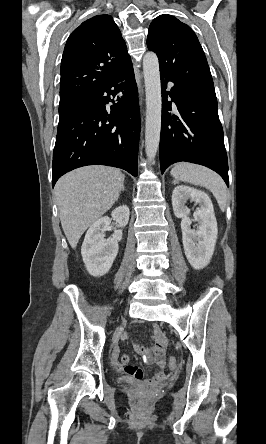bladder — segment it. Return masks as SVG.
I'll use <instances>...</instances> for the list:
<instances>
[{
  "label": "bladder",
  "mask_w": 266,
  "mask_h": 444,
  "mask_svg": "<svg viewBox=\"0 0 266 444\" xmlns=\"http://www.w3.org/2000/svg\"><path fill=\"white\" fill-rule=\"evenodd\" d=\"M126 383L129 385H139V382L133 380V379H128L126 380Z\"/></svg>",
  "instance_id": "31cf9c89"
}]
</instances>
